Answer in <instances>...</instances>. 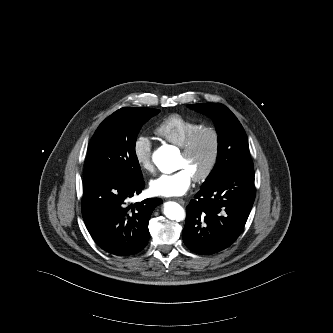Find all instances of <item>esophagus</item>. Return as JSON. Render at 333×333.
I'll list each match as a JSON object with an SVG mask.
<instances>
[{
    "instance_id": "obj_1",
    "label": "esophagus",
    "mask_w": 333,
    "mask_h": 333,
    "mask_svg": "<svg viewBox=\"0 0 333 333\" xmlns=\"http://www.w3.org/2000/svg\"><path fill=\"white\" fill-rule=\"evenodd\" d=\"M175 201H177L179 204L184 205L185 201L181 198H176Z\"/></svg>"
}]
</instances>
